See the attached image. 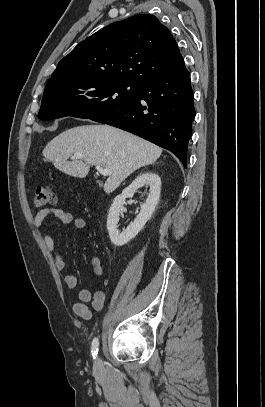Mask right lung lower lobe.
Masks as SVG:
<instances>
[{
  "mask_svg": "<svg viewBox=\"0 0 265 407\" xmlns=\"http://www.w3.org/2000/svg\"><path fill=\"white\" fill-rule=\"evenodd\" d=\"M194 118L190 73L180 56L170 70L143 83L131 103L90 119L170 150L186 168Z\"/></svg>",
  "mask_w": 265,
  "mask_h": 407,
  "instance_id": "right-lung-lower-lobe-1",
  "label": "right lung lower lobe"
}]
</instances>
